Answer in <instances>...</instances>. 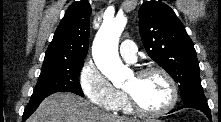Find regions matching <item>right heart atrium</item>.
I'll use <instances>...</instances> for the list:
<instances>
[{"label":"right heart atrium","mask_w":221,"mask_h":122,"mask_svg":"<svg viewBox=\"0 0 221 122\" xmlns=\"http://www.w3.org/2000/svg\"><path fill=\"white\" fill-rule=\"evenodd\" d=\"M79 83L84 95L91 103L106 110H113L119 91L91 59L83 64L79 72Z\"/></svg>","instance_id":"obj_1"}]
</instances>
